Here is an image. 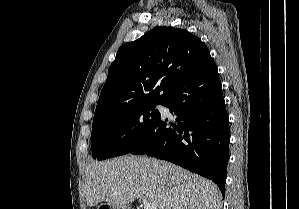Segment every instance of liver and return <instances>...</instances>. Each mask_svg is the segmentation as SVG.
<instances>
[{
	"label": "liver",
	"instance_id": "1",
	"mask_svg": "<svg viewBox=\"0 0 299 209\" xmlns=\"http://www.w3.org/2000/svg\"><path fill=\"white\" fill-rule=\"evenodd\" d=\"M85 197L90 207L107 202L121 208L137 198H145L156 209L222 207L221 193L213 182L147 156H125L87 164Z\"/></svg>",
	"mask_w": 299,
	"mask_h": 209
}]
</instances>
